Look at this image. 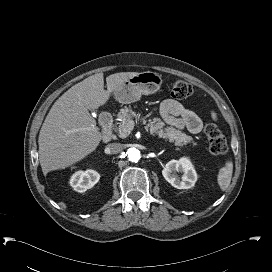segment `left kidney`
I'll use <instances>...</instances> for the list:
<instances>
[{"mask_svg":"<svg viewBox=\"0 0 272 272\" xmlns=\"http://www.w3.org/2000/svg\"><path fill=\"white\" fill-rule=\"evenodd\" d=\"M177 172L182 173L179 177ZM163 177L177 189H190L197 181V173L187 157L169 161L162 170Z\"/></svg>","mask_w":272,"mask_h":272,"instance_id":"5707ae66","label":"left kidney"}]
</instances>
